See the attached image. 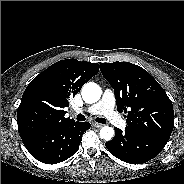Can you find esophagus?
I'll list each match as a JSON object with an SVG mask.
<instances>
[{
  "label": "esophagus",
  "mask_w": 184,
  "mask_h": 184,
  "mask_svg": "<svg viewBox=\"0 0 184 184\" xmlns=\"http://www.w3.org/2000/svg\"><path fill=\"white\" fill-rule=\"evenodd\" d=\"M93 126L96 127V128H100V127H102L103 125H102V124H99V123H93Z\"/></svg>",
  "instance_id": "34e87169"
}]
</instances>
